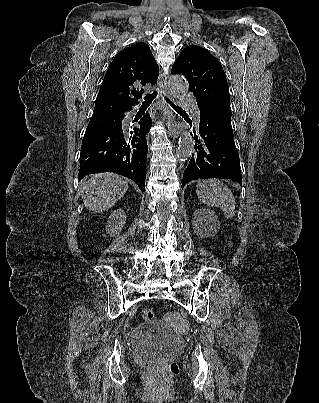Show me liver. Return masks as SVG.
<instances>
[{
    "label": "liver",
    "instance_id": "liver-1",
    "mask_svg": "<svg viewBox=\"0 0 319 403\" xmlns=\"http://www.w3.org/2000/svg\"><path fill=\"white\" fill-rule=\"evenodd\" d=\"M128 189V181L116 174L100 173L83 182L84 206L92 212H102L112 207Z\"/></svg>",
    "mask_w": 319,
    "mask_h": 403
}]
</instances>
